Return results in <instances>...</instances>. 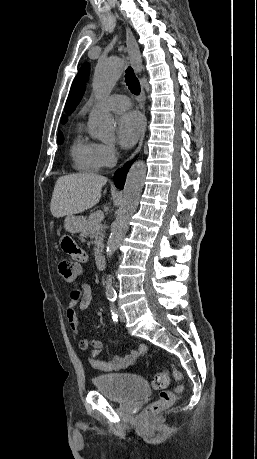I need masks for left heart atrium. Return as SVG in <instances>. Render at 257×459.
I'll list each match as a JSON object with an SVG mask.
<instances>
[{"label":"left heart atrium","instance_id":"left-heart-atrium-1","mask_svg":"<svg viewBox=\"0 0 257 459\" xmlns=\"http://www.w3.org/2000/svg\"><path fill=\"white\" fill-rule=\"evenodd\" d=\"M143 129L141 116L137 112H128L118 121L117 136L124 148L132 147L139 139Z\"/></svg>","mask_w":257,"mask_h":459}]
</instances>
